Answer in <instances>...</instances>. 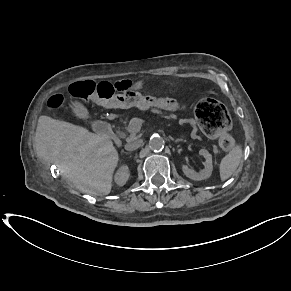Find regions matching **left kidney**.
Segmentation results:
<instances>
[{
	"label": "left kidney",
	"mask_w": 291,
	"mask_h": 291,
	"mask_svg": "<svg viewBox=\"0 0 291 291\" xmlns=\"http://www.w3.org/2000/svg\"><path fill=\"white\" fill-rule=\"evenodd\" d=\"M199 154L205 158V163H204L205 168L200 173H197L193 169H190L187 165L182 166L183 173L188 178L192 180H196V181L209 178L213 170L212 155L205 149H201L199 151Z\"/></svg>",
	"instance_id": "left-kidney-1"
}]
</instances>
